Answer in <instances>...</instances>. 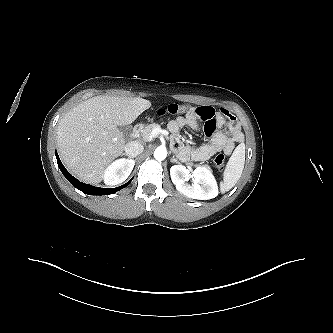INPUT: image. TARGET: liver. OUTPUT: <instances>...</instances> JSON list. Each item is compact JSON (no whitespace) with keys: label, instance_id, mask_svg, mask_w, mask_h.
Masks as SVG:
<instances>
[{"label":"liver","instance_id":"1","mask_svg":"<svg viewBox=\"0 0 333 333\" xmlns=\"http://www.w3.org/2000/svg\"><path fill=\"white\" fill-rule=\"evenodd\" d=\"M150 107L143 98L107 95L74 107L57 127V145L67 169L83 182H101L109 164L123 155L125 139L117 126L131 124Z\"/></svg>","mask_w":333,"mask_h":333}]
</instances>
